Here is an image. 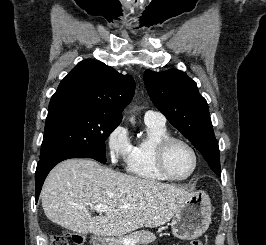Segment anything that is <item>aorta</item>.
Segmentation results:
<instances>
[{
	"instance_id": "aorta-1",
	"label": "aorta",
	"mask_w": 266,
	"mask_h": 245,
	"mask_svg": "<svg viewBox=\"0 0 266 245\" xmlns=\"http://www.w3.org/2000/svg\"><path fill=\"white\" fill-rule=\"evenodd\" d=\"M130 123H132V125H134V123H136L134 116H132V118H130Z\"/></svg>"
}]
</instances>
